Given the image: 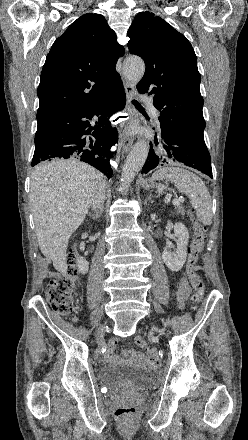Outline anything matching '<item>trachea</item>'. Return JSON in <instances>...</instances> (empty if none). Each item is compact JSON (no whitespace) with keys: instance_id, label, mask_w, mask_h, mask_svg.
<instances>
[{"instance_id":"1","label":"trachea","mask_w":248,"mask_h":440,"mask_svg":"<svg viewBox=\"0 0 248 440\" xmlns=\"http://www.w3.org/2000/svg\"><path fill=\"white\" fill-rule=\"evenodd\" d=\"M132 103L140 110H143V107L137 101L133 100Z\"/></svg>"}]
</instances>
